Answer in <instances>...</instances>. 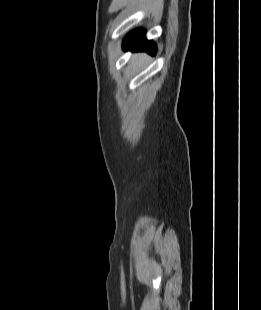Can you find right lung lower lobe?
Instances as JSON below:
<instances>
[{
    "instance_id": "1",
    "label": "right lung lower lobe",
    "mask_w": 261,
    "mask_h": 310,
    "mask_svg": "<svg viewBox=\"0 0 261 310\" xmlns=\"http://www.w3.org/2000/svg\"><path fill=\"white\" fill-rule=\"evenodd\" d=\"M145 31L143 29H136L130 32L123 43L124 49L135 48L139 51H147L151 54L156 53V46L152 41H147L145 39Z\"/></svg>"
}]
</instances>
